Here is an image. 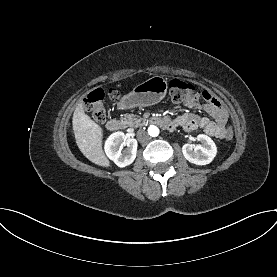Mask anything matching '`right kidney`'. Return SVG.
Returning <instances> with one entry per match:
<instances>
[{"instance_id": "obj_1", "label": "right kidney", "mask_w": 277, "mask_h": 277, "mask_svg": "<svg viewBox=\"0 0 277 277\" xmlns=\"http://www.w3.org/2000/svg\"><path fill=\"white\" fill-rule=\"evenodd\" d=\"M123 146H127L122 151ZM105 152L109 159L119 167L133 163L137 154V140L128 138L123 132L111 134L105 142Z\"/></svg>"}]
</instances>
